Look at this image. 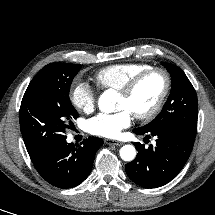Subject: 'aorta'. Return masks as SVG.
Wrapping results in <instances>:
<instances>
[{
    "label": "aorta",
    "mask_w": 215,
    "mask_h": 215,
    "mask_svg": "<svg viewBox=\"0 0 215 215\" xmlns=\"http://www.w3.org/2000/svg\"><path fill=\"white\" fill-rule=\"evenodd\" d=\"M118 98L116 91L108 89L101 94L98 100V107L102 112L111 113L115 110V102ZM136 156V149L133 145H124L120 149V157L124 161H132Z\"/></svg>",
    "instance_id": "762f6f07"
}]
</instances>
